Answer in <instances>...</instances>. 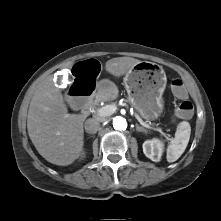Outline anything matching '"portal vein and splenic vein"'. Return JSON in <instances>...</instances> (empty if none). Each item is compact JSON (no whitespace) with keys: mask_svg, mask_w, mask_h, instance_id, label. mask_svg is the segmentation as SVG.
<instances>
[{"mask_svg":"<svg viewBox=\"0 0 221 221\" xmlns=\"http://www.w3.org/2000/svg\"><path fill=\"white\" fill-rule=\"evenodd\" d=\"M116 110H117V107L115 105H106L104 107L99 108L97 110V114L100 117H106V116L112 115ZM135 117L141 125H143L146 128H151L138 115H135ZM154 130H157L162 133V130L160 128H154Z\"/></svg>","mask_w":221,"mask_h":221,"instance_id":"18ae733b","label":"portal vein and splenic vein"}]
</instances>
